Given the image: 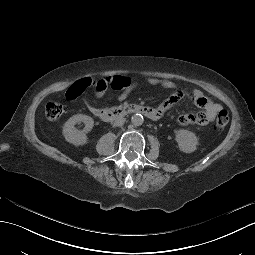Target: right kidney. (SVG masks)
Here are the masks:
<instances>
[{
	"mask_svg": "<svg viewBox=\"0 0 255 255\" xmlns=\"http://www.w3.org/2000/svg\"><path fill=\"white\" fill-rule=\"evenodd\" d=\"M83 122L85 128L82 131L77 130L74 125ZM94 121L90 116L77 114L72 116L63 126V135L69 143L74 145H83L87 141L86 133L92 130Z\"/></svg>",
	"mask_w": 255,
	"mask_h": 255,
	"instance_id": "obj_1",
	"label": "right kidney"
}]
</instances>
